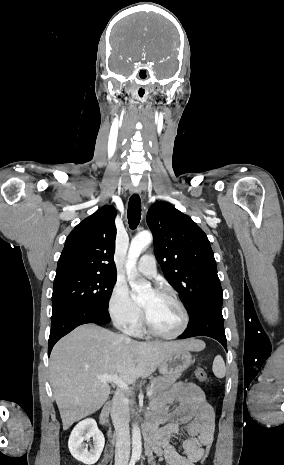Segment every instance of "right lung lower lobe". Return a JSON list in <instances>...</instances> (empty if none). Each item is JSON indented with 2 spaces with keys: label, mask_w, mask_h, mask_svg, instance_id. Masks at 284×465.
I'll return each instance as SVG.
<instances>
[{
  "label": "right lung lower lobe",
  "mask_w": 284,
  "mask_h": 465,
  "mask_svg": "<svg viewBox=\"0 0 284 465\" xmlns=\"http://www.w3.org/2000/svg\"><path fill=\"white\" fill-rule=\"evenodd\" d=\"M110 322L108 310L90 306H72L52 316L48 341V356L55 343L76 328L86 323L107 324Z\"/></svg>",
  "instance_id": "obj_1"
}]
</instances>
